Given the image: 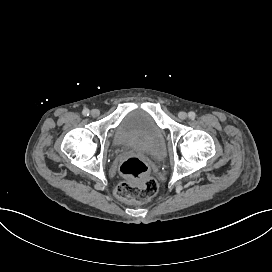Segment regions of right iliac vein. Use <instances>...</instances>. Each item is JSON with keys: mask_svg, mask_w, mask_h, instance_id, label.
Returning a JSON list of instances; mask_svg holds the SVG:
<instances>
[{"mask_svg": "<svg viewBox=\"0 0 272 272\" xmlns=\"http://www.w3.org/2000/svg\"><path fill=\"white\" fill-rule=\"evenodd\" d=\"M99 114H100V111L98 109H93L91 111V116H93V117H97V116H99Z\"/></svg>", "mask_w": 272, "mask_h": 272, "instance_id": "63e3f726", "label": "right iliac vein"}]
</instances>
